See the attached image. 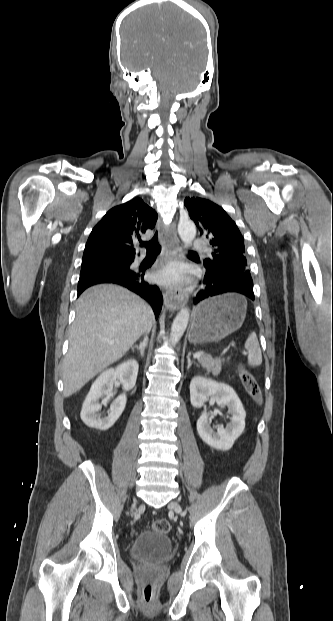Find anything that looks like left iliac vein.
<instances>
[{
	"label": "left iliac vein",
	"instance_id": "4c4485c4",
	"mask_svg": "<svg viewBox=\"0 0 333 621\" xmlns=\"http://www.w3.org/2000/svg\"><path fill=\"white\" fill-rule=\"evenodd\" d=\"M169 507L171 509H175L177 512H181V507L179 506V504L177 502H172Z\"/></svg>",
	"mask_w": 333,
	"mask_h": 621
}]
</instances>
